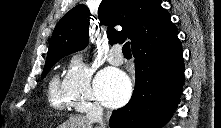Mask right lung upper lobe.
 Here are the masks:
<instances>
[{
	"label": "right lung upper lobe",
	"instance_id": "1",
	"mask_svg": "<svg viewBox=\"0 0 221 128\" xmlns=\"http://www.w3.org/2000/svg\"><path fill=\"white\" fill-rule=\"evenodd\" d=\"M90 15L88 7L80 4L63 16L51 37L46 63L87 46ZM98 18L103 25L109 26V42L117 43L129 38L133 50L163 47L178 34L160 0H102ZM115 25L122 26L126 31H116L113 28Z\"/></svg>",
	"mask_w": 221,
	"mask_h": 128
}]
</instances>
